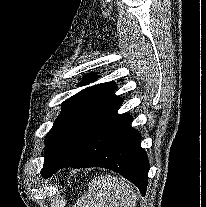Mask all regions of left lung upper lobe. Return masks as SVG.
Listing matches in <instances>:
<instances>
[{"label": "left lung upper lobe", "instance_id": "5c2ea615", "mask_svg": "<svg viewBox=\"0 0 206 207\" xmlns=\"http://www.w3.org/2000/svg\"><path fill=\"white\" fill-rule=\"evenodd\" d=\"M97 76L87 75L80 85L95 81ZM112 82L88 87L67 99L61 114L46 138V152L42 175L54 163L70 158L82 145L95 123L120 99L114 96Z\"/></svg>", "mask_w": 206, "mask_h": 207}]
</instances>
